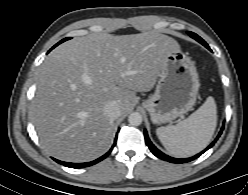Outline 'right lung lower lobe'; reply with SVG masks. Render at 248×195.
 I'll return each instance as SVG.
<instances>
[{
  "label": "right lung lower lobe",
  "instance_id": "1",
  "mask_svg": "<svg viewBox=\"0 0 248 195\" xmlns=\"http://www.w3.org/2000/svg\"><path fill=\"white\" fill-rule=\"evenodd\" d=\"M116 144V142H114L112 148L103 156H101L100 158L94 160V161H91V162H86V163H69V162H63V161H60V160H56L54 159L56 162L66 166V167H70V168H83V167H88V166H91V165H94L98 162H100L101 160L105 159L109 154L110 152L112 151L114 145Z\"/></svg>",
  "mask_w": 248,
  "mask_h": 195
}]
</instances>
